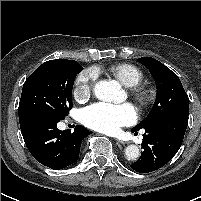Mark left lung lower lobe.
I'll return each mask as SVG.
<instances>
[{
    "instance_id": "obj_1",
    "label": "left lung lower lobe",
    "mask_w": 201,
    "mask_h": 201,
    "mask_svg": "<svg viewBox=\"0 0 201 201\" xmlns=\"http://www.w3.org/2000/svg\"><path fill=\"white\" fill-rule=\"evenodd\" d=\"M187 125L188 115L183 114L166 115L149 123L144 127L143 152L131 167L148 173L167 164L180 149Z\"/></svg>"
}]
</instances>
